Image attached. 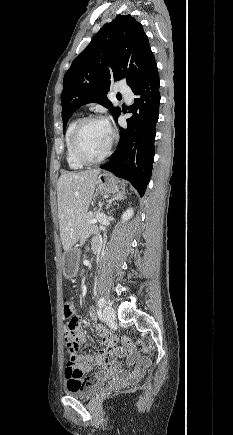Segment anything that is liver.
Here are the masks:
<instances>
[{"label":"liver","instance_id":"obj_1","mask_svg":"<svg viewBox=\"0 0 233 435\" xmlns=\"http://www.w3.org/2000/svg\"><path fill=\"white\" fill-rule=\"evenodd\" d=\"M99 169L67 172L57 182L58 218L63 249L79 240Z\"/></svg>","mask_w":233,"mask_h":435}]
</instances>
